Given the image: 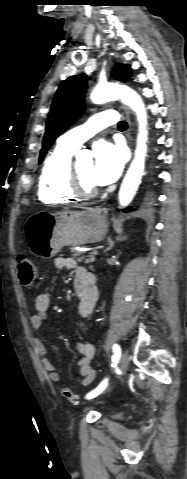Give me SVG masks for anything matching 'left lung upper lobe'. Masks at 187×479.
<instances>
[{"mask_svg":"<svg viewBox=\"0 0 187 479\" xmlns=\"http://www.w3.org/2000/svg\"><path fill=\"white\" fill-rule=\"evenodd\" d=\"M113 76L121 81L131 76L127 64L116 65ZM87 88L86 75H75L64 80L52 102L46 123V131L40 152L39 162H42L54 140L71 126L84 112V94Z\"/></svg>","mask_w":187,"mask_h":479,"instance_id":"obj_1","label":"left lung upper lobe"}]
</instances>
